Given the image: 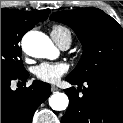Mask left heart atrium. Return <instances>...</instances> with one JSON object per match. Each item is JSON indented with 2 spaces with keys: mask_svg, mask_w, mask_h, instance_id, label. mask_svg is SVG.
<instances>
[{
  "mask_svg": "<svg viewBox=\"0 0 123 123\" xmlns=\"http://www.w3.org/2000/svg\"><path fill=\"white\" fill-rule=\"evenodd\" d=\"M67 71L65 63L43 62L35 67L34 74L43 82L56 83Z\"/></svg>",
  "mask_w": 123,
  "mask_h": 123,
  "instance_id": "39dd6f15",
  "label": "left heart atrium"
}]
</instances>
